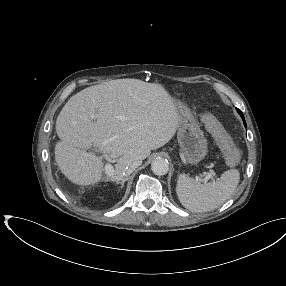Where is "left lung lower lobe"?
<instances>
[{
    "label": "left lung lower lobe",
    "instance_id": "1",
    "mask_svg": "<svg viewBox=\"0 0 286 286\" xmlns=\"http://www.w3.org/2000/svg\"><path fill=\"white\" fill-rule=\"evenodd\" d=\"M236 110H237V112L240 114V116L242 117L243 123H244V125H245V127H246V122H245V119H244V116H243L242 112H241L238 108H236Z\"/></svg>",
    "mask_w": 286,
    "mask_h": 286
}]
</instances>
